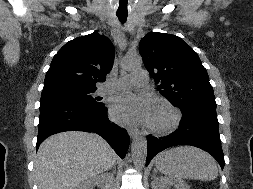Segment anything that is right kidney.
<instances>
[{
  "label": "right kidney",
  "instance_id": "right-kidney-1",
  "mask_svg": "<svg viewBox=\"0 0 253 189\" xmlns=\"http://www.w3.org/2000/svg\"><path fill=\"white\" fill-rule=\"evenodd\" d=\"M113 180L112 174L104 173L81 182L75 189H94L95 186L101 189H112Z\"/></svg>",
  "mask_w": 253,
  "mask_h": 189
}]
</instances>
